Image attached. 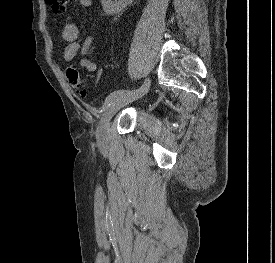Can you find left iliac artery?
<instances>
[{"label":"left iliac artery","mask_w":275,"mask_h":263,"mask_svg":"<svg viewBox=\"0 0 275 263\" xmlns=\"http://www.w3.org/2000/svg\"><path fill=\"white\" fill-rule=\"evenodd\" d=\"M150 81L146 79L142 86L134 90H117L112 92L105 100L104 107H108L115 99L133 93H142L149 88Z\"/></svg>","instance_id":"left-iliac-artery-1"}]
</instances>
